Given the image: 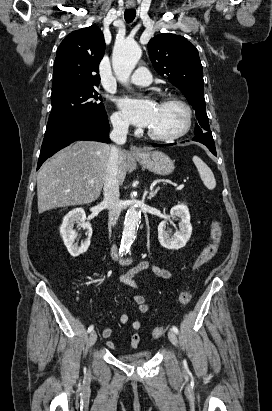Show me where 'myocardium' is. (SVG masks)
<instances>
[{
	"instance_id": "myocardium-1",
	"label": "myocardium",
	"mask_w": 272,
	"mask_h": 411,
	"mask_svg": "<svg viewBox=\"0 0 272 411\" xmlns=\"http://www.w3.org/2000/svg\"><path fill=\"white\" fill-rule=\"evenodd\" d=\"M162 103H173V104L180 106L185 113V124L182 127V129L175 134L160 135V134L153 132L150 128L148 129L147 134L149 135V137L157 141L172 142V141L178 140L182 138L183 136H185L191 129L192 122H193L192 109L184 100L176 96H171V95L164 96L162 98Z\"/></svg>"
}]
</instances>
